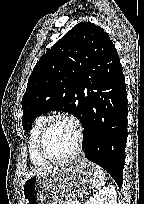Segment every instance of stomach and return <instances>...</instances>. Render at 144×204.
I'll list each match as a JSON object with an SVG mask.
<instances>
[{"instance_id":"0dacf381","label":"stomach","mask_w":144,"mask_h":204,"mask_svg":"<svg viewBox=\"0 0 144 204\" xmlns=\"http://www.w3.org/2000/svg\"><path fill=\"white\" fill-rule=\"evenodd\" d=\"M95 165L77 159L46 173L29 177L22 185L25 204H66L92 185Z\"/></svg>"}]
</instances>
